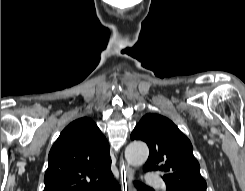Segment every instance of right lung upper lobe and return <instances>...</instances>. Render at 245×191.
Returning a JSON list of instances; mask_svg holds the SVG:
<instances>
[{
	"instance_id": "1",
	"label": "right lung upper lobe",
	"mask_w": 245,
	"mask_h": 191,
	"mask_svg": "<svg viewBox=\"0 0 245 191\" xmlns=\"http://www.w3.org/2000/svg\"><path fill=\"white\" fill-rule=\"evenodd\" d=\"M48 162L44 191H93L114 179L108 142L87 117L64 128Z\"/></svg>"
}]
</instances>
